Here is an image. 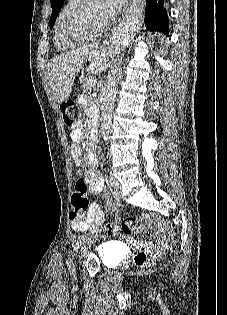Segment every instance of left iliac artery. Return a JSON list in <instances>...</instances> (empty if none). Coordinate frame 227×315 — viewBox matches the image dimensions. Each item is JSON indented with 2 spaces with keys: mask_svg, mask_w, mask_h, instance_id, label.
<instances>
[{
  "mask_svg": "<svg viewBox=\"0 0 227 315\" xmlns=\"http://www.w3.org/2000/svg\"><path fill=\"white\" fill-rule=\"evenodd\" d=\"M109 183L111 184V186L114 185V183H115L114 177H112V176L109 177ZM86 238H87V235H83L76 241V243L74 245V249H73L74 252H76L79 249V247L82 245V243L84 242V240Z\"/></svg>",
  "mask_w": 227,
  "mask_h": 315,
  "instance_id": "left-iliac-artery-1",
  "label": "left iliac artery"
}]
</instances>
